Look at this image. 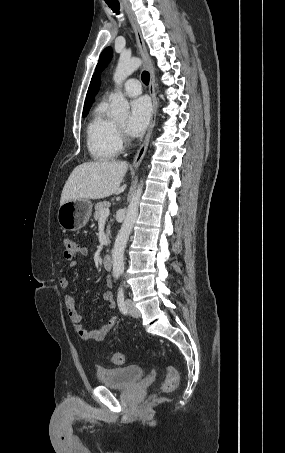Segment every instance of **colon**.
Wrapping results in <instances>:
<instances>
[{
	"instance_id": "5ec220e1",
	"label": "colon",
	"mask_w": 285,
	"mask_h": 453,
	"mask_svg": "<svg viewBox=\"0 0 285 453\" xmlns=\"http://www.w3.org/2000/svg\"><path fill=\"white\" fill-rule=\"evenodd\" d=\"M63 248H64V258L68 261L73 260L80 251V246L78 242L71 238V237H66L63 240ZM111 362L115 365H121L124 363V355L121 352H115L111 358ZM179 383V375L177 370L172 367L168 366L166 368V379L164 383L162 384L161 390L163 392H171L176 389L177 385Z\"/></svg>"
}]
</instances>
